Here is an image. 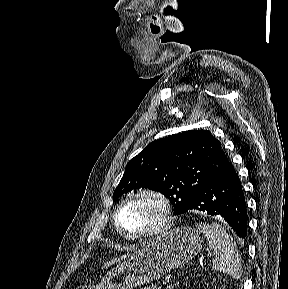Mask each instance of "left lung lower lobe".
<instances>
[{
	"label": "left lung lower lobe",
	"instance_id": "1",
	"mask_svg": "<svg viewBox=\"0 0 288 289\" xmlns=\"http://www.w3.org/2000/svg\"><path fill=\"white\" fill-rule=\"evenodd\" d=\"M188 210H199L209 215L221 216L236 234L247 236V210L240 179L227 160L218 173L196 195Z\"/></svg>",
	"mask_w": 288,
	"mask_h": 289
}]
</instances>
